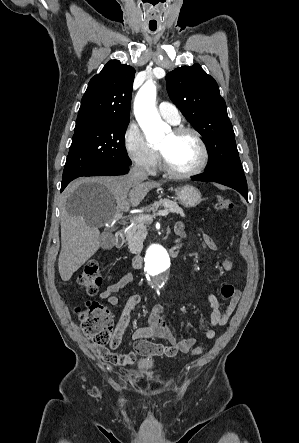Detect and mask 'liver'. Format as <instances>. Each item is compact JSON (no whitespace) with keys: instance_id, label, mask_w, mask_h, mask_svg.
Returning <instances> with one entry per match:
<instances>
[{"instance_id":"1","label":"liver","mask_w":299,"mask_h":443,"mask_svg":"<svg viewBox=\"0 0 299 443\" xmlns=\"http://www.w3.org/2000/svg\"><path fill=\"white\" fill-rule=\"evenodd\" d=\"M82 199L74 201L75 190ZM161 186L155 181H131L129 176L83 178L64 192L61 210V252L58 267L68 281L101 245L99 227L120 212L137 207L148 192Z\"/></svg>"}]
</instances>
